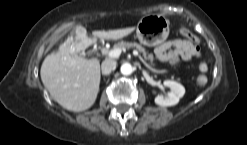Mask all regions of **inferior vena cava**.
<instances>
[{
    "label": "inferior vena cava",
    "mask_w": 247,
    "mask_h": 145,
    "mask_svg": "<svg viewBox=\"0 0 247 145\" xmlns=\"http://www.w3.org/2000/svg\"><path fill=\"white\" fill-rule=\"evenodd\" d=\"M116 67V61L107 59L102 62L101 69L103 75H109Z\"/></svg>",
    "instance_id": "inferior-vena-cava-1"
}]
</instances>
